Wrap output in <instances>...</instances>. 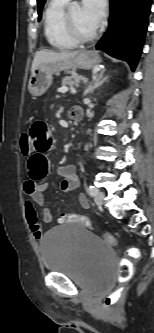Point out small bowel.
<instances>
[{
	"instance_id": "1",
	"label": "small bowel",
	"mask_w": 154,
	"mask_h": 333,
	"mask_svg": "<svg viewBox=\"0 0 154 333\" xmlns=\"http://www.w3.org/2000/svg\"><path fill=\"white\" fill-rule=\"evenodd\" d=\"M28 134L32 145V153L27 163L29 178L24 182L23 190L33 202L40 206L41 220L49 223L52 221V213L45 202L48 184L42 182V180L49 171L48 151L52 146V132L44 121L39 120L31 125ZM57 174L62 178V191L69 192L79 186V179L74 166H61L57 169ZM78 200L82 208L87 209L89 207V201L84 194H80ZM26 217L34 237L40 239L42 237L41 224L30 202L26 203Z\"/></svg>"
}]
</instances>
